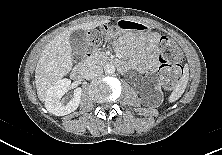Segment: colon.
<instances>
[{
	"mask_svg": "<svg viewBox=\"0 0 222 155\" xmlns=\"http://www.w3.org/2000/svg\"><path fill=\"white\" fill-rule=\"evenodd\" d=\"M103 33V29L90 32L88 35L90 44H97ZM159 46L162 50L159 76L163 86L170 90L175 87L183 74L182 66L178 63L171 62L179 58L180 52L171 37L167 35H163L159 38ZM77 57H79V55H77Z\"/></svg>",
	"mask_w": 222,
	"mask_h": 155,
	"instance_id": "colon-1",
	"label": "colon"
}]
</instances>
